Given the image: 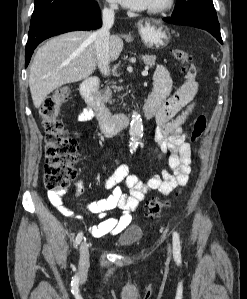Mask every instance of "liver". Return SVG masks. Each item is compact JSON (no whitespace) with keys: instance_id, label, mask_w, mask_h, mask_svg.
Instances as JSON below:
<instances>
[{"instance_id":"liver-1","label":"liver","mask_w":247,"mask_h":299,"mask_svg":"<svg viewBox=\"0 0 247 299\" xmlns=\"http://www.w3.org/2000/svg\"><path fill=\"white\" fill-rule=\"evenodd\" d=\"M123 40L109 39L110 61L117 60ZM97 66L95 36L89 31L68 32L48 40L41 46L31 64L29 87L36 108L62 85L88 78Z\"/></svg>"}]
</instances>
